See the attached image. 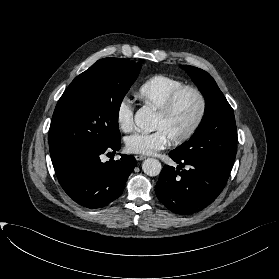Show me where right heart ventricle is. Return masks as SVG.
Returning <instances> with one entry per match:
<instances>
[{"label":"right heart ventricle","instance_id":"e07e8e85","mask_svg":"<svg viewBox=\"0 0 279 279\" xmlns=\"http://www.w3.org/2000/svg\"><path fill=\"white\" fill-rule=\"evenodd\" d=\"M184 85L185 83L179 79L158 74L148 78L140 85L137 96L146 106L158 110L171 92Z\"/></svg>","mask_w":279,"mask_h":279}]
</instances>
